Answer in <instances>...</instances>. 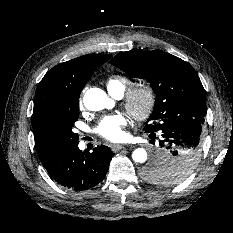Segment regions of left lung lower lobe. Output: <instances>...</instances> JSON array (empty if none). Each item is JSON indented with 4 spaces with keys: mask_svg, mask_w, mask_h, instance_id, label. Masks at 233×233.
Returning <instances> with one entry per match:
<instances>
[{
    "mask_svg": "<svg viewBox=\"0 0 233 233\" xmlns=\"http://www.w3.org/2000/svg\"><path fill=\"white\" fill-rule=\"evenodd\" d=\"M203 123L196 119H178L164 123L158 131L150 132V138L155 141L158 132V153L151 162L165 164L171 160L182 156L199 159L202 151V131ZM162 152H167L166 157H162ZM166 185L165 183H159Z\"/></svg>",
    "mask_w": 233,
    "mask_h": 233,
    "instance_id": "1",
    "label": "left lung lower lobe"
}]
</instances>
